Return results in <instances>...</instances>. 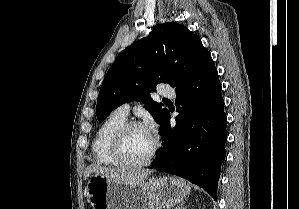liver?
I'll return each mask as SVG.
<instances>
[{"mask_svg": "<svg viewBox=\"0 0 299 209\" xmlns=\"http://www.w3.org/2000/svg\"><path fill=\"white\" fill-rule=\"evenodd\" d=\"M100 174L118 183L137 184L144 182L152 173L151 170H126L115 169L110 167L100 166L98 164L89 165L84 172V179H87L90 174Z\"/></svg>", "mask_w": 299, "mask_h": 209, "instance_id": "liver-1", "label": "liver"}]
</instances>
